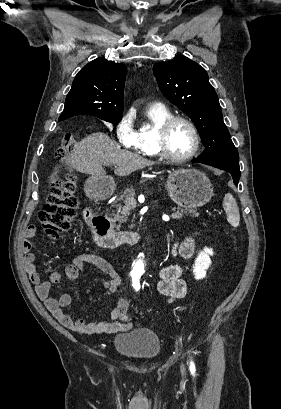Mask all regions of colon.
I'll return each mask as SVG.
<instances>
[{
    "label": "colon",
    "mask_w": 281,
    "mask_h": 409,
    "mask_svg": "<svg viewBox=\"0 0 281 409\" xmlns=\"http://www.w3.org/2000/svg\"><path fill=\"white\" fill-rule=\"evenodd\" d=\"M77 139L73 133L66 134L62 147L58 151V159L62 166V174L54 181L46 206L38 213V221L42 229L50 236H58L71 228L75 216L77 199L73 196L76 186V177L66 162L75 151ZM120 317L126 319V307L119 309Z\"/></svg>",
    "instance_id": "5ec220e1"
}]
</instances>
